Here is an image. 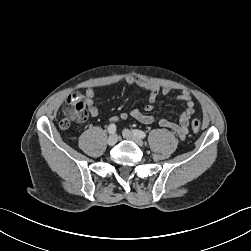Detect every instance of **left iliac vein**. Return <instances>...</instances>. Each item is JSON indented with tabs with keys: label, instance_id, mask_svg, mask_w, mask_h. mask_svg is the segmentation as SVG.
I'll list each match as a JSON object with an SVG mask.
<instances>
[{
	"label": "left iliac vein",
	"instance_id": "1",
	"mask_svg": "<svg viewBox=\"0 0 251 251\" xmlns=\"http://www.w3.org/2000/svg\"><path fill=\"white\" fill-rule=\"evenodd\" d=\"M123 137L127 140L133 141L140 147L144 145L143 140L140 137L136 136L133 131H130L128 129L123 130Z\"/></svg>",
	"mask_w": 251,
	"mask_h": 251
}]
</instances>
